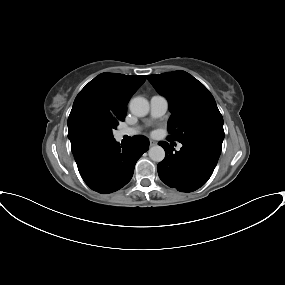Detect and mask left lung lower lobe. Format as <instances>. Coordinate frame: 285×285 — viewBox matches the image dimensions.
I'll return each instance as SVG.
<instances>
[{"mask_svg":"<svg viewBox=\"0 0 285 285\" xmlns=\"http://www.w3.org/2000/svg\"><path fill=\"white\" fill-rule=\"evenodd\" d=\"M166 156L157 166L160 179L169 187L192 192L204 185L212 175L221 147L211 143L183 144L180 151L167 142H159Z\"/></svg>","mask_w":285,"mask_h":285,"instance_id":"1","label":"left lung lower lobe"}]
</instances>
